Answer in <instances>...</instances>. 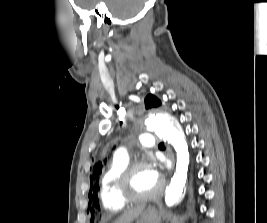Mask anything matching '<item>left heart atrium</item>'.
Instances as JSON below:
<instances>
[{
	"mask_svg": "<svg viewBox=\"0 0 267 223\" xmlns=\"http://www.w3.org/2000/svg\"><path fill=\"white\" fill-rule=\"evenodd\" d=\"M152 175L155 179L159 180V173L156 170H152Z\"/></svg>",
	"mask_w": 267,
	"mask_h": 223,
	"instance_id": "obj_1",
	"label": "left heart atrium"
}]
</instances>
